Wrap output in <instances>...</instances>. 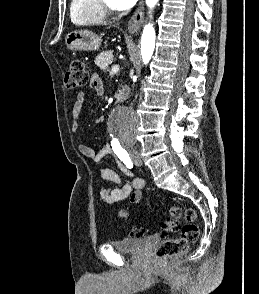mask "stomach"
<instances>
[{
  "label": "stomach",
  "mask_w": 259,
  "mask_h": 294,
  "mask_svg": "<svg viewBox=\"0 0 259 294\" xmlns=\"http://www.w3.org/2000/svg\"><path fill=\"white\" fill-rule=\"evenodd\" d=\"M65 43L73 51H96L100 48L102 39L91 31L81 30L68 33Z\"/></svg>",
  "instance_id": "stomach-1"
}]
</instances>
